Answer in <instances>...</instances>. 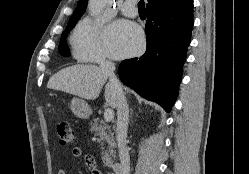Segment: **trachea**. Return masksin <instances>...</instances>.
I'll list each match as a JSON object with an SVG mask.
<instances>
[{
	"instance_id": "3493384b",
	"label": "trachea",
	"mask_w": 249,
	"mask_h": 174,
	"mask_svg": "<svg viewBox=\"0 0 249 174\" xmlns=\"http://www.w3.org/2000/svg\"><path fill=\"white\" fill-rule=\"evenodd\" d=\"M138 9L139 10H145V3L144 0H140L138 3Z\"/></svg>"
}]
</instances>
